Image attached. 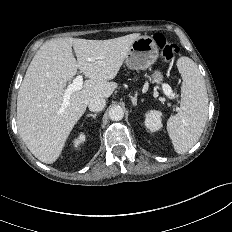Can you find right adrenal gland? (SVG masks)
I'll list each match as a JSON object with an SVG mask.
<instances>
[{
	"label": "right adrenal gland",
	"mask_w": 232,
	"mask_h": 232,
	"mask_svg": "<svg viewBox=\"0 0 232 232\" xmlns=\"http://www.w3.org/2000/svg\"><path fill=\"white\" fill-rule=\"evenodd\" d=\"M97 115H98L97 113H94V114H88V115H87V118H88V117H92V118H94V119H95Z\"/></svg>",
	"instance_id": "obj_1"
}]
</instances>
